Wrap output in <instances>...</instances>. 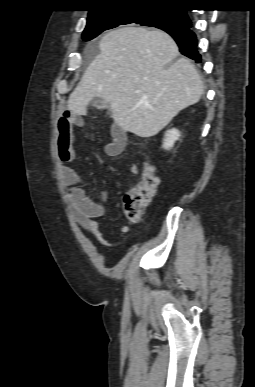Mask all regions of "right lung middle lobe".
<instances>
[{"label": "right lung middle lobe", "mask_w": 255, "mask_h": 387, "mask_svg": "<svg viewBox=\"0 0 255 387\" xmlns=\"http://www.w3.org/2000/svg\"><path fill=\"white\" fill-rule=\"evenodd\" d=\"M130 23L163 29L185 27L188 20L175 8H117L89 15L82 38L89 41L105 30Z\"/></svg>", "instance_id": "dd1d6c3e"}]
</instances>
